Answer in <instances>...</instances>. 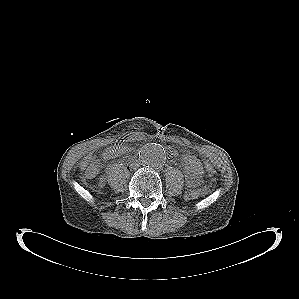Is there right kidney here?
<instances>
[{
    "mask_svg": "<svg viewBox=\"0 0 299 299\" xmlns=\"http://www.w3.org/2000/svg\"><path fill=\"white\" fill-rule=\"evenodd\" d=\"M100 185H101V186H104V183H103V181H102V180L100 181Z\"/></svg>",
    "mask_w": 299,
    "mask_h": 299,
    "instance_id": "obj_1",
    "label": "right kidney"
}]
</instances>
